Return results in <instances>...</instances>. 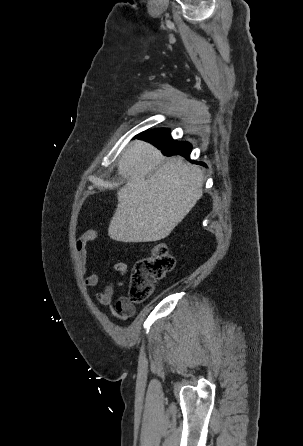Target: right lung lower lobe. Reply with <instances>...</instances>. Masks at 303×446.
<instances>
[{
	"mask_svg": "<svg viewBox=\"0 0 303 446\" xmlns=\"http://www.w3.org/2000/svg\"><path fill=\"white\" fill-rule=\"evenodd\" d=\"M137 138L152 143L161 149L162 153L167 156L181 155L185 158H189L192 150L190 143L186 141H174L170 136V130L167 128L152 129L139 134Z\"/></svg>",
	"mask_w": 303,
	"mask_h": 446,
	"instance_id": "obj_1",
	"label": "right lung lower lobe"
}]
</instances>
